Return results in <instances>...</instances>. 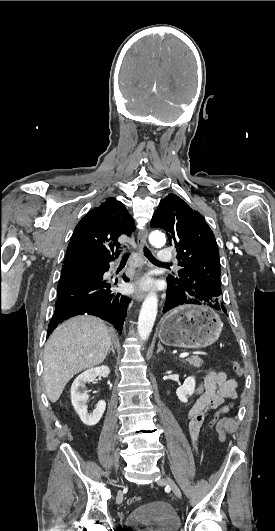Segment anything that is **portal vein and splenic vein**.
Masks as SVG:
<instances>
[{"label": "portal vein and splenic vein", "instance_id": "18ae733b", "mask_svg": "<svg viewBox=\"0 0 275 531\" xmlns=\"http://www.w3.org/2000/svg\"><path fill=\"white\" fill-rule=\"evenodd\" d=\"M189 353H181V355H179V357H181V359H183V357H188Z\"/></svg>", "mask_w": 275, "mask_h": 531}]
</instances>
